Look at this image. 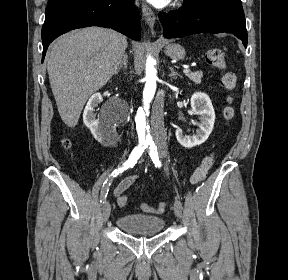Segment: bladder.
<instances>
[{"mask_svg": "<svg viewBox=\"0 0 288 280\" xmlns=\"http://www.w3.org/2000/svg\"><path fill=\"white\" fill-rule=\"evenodd\" d=\"M116 225L128 234H154L164 229L165 220L156 215L126 214L118 217Z\"/></svg>", "mask_w": 288, "mask_h": 280, "instance_id": "bladder-1", "label": "bladder"}]
</instances>
